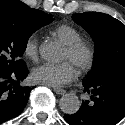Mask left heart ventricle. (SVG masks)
<instances>
[{"mask_svg":"<svg viewBox=\"0 0 125 125\" xmlns=\"http://www.w3.org/2000/svg\"><path fill=\"white\" fill-rule=\"evenodd\" d=\"M82 58H83L82 55H79L77 57H73L68 53V51L66 49L64 50L63 59L71 61L73 63V65L76 67H78V64L80 63Z\"/></svg>","mask_w":125,"mask_h":125,"instance_id":"obj_1","label":"left heart ventricle"}]
</instances>
